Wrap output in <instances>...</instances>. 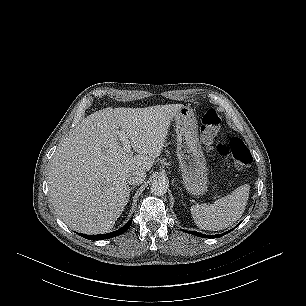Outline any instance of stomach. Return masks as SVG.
Wrapping results in <instances>:
<instances>
[{
    "instance_id": "stomach-1",
    "label": "stomach",
    "mask_w": 306,
    "mask_h": 306,
    "mask_svg": "<svg viewBox=\"0 0 306 306\" xmlns=\"http://www.w3.org/2000/svg\"><path fill=\"white\" fill-rule=\"evenodd\" d=\"M177 157L186 190L195 196L203 195L208 188V167L203 154L194 112L187 106L175 115Z\"/></svg>"
}]
</instances>
